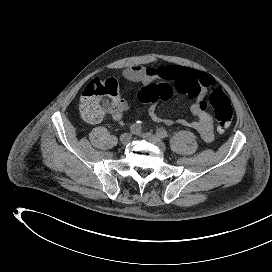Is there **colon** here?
I'll use <instances>...</instances> for the list:
<instances>
[{"instance_id": "obj_1", "label": "colon", "mask_w": 272, "mask_h": 272, "mask_svg": "<svg viewBox=\"0 0 272 272\" xmlns=\"http://www.w3.org/2000/svg\"><path fill=\"white\" fill-rule=\"evenodd\" d=\"M175 88L168 82L150 83L144 86L138 98L142 103L155 104L172 97ZM118 98V85L114 79H93L83 89L79 109L83 119L89 123L99 122L114 106ZM209 103L215 113L217 128L226 131L233 120V108L228 96L219 87L209 95Z\"/></svg>"}]
</instances>
